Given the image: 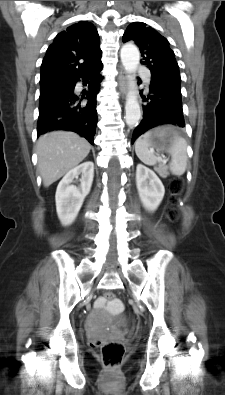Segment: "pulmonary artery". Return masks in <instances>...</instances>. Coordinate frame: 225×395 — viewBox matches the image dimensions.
<instances>
[{
  "label": "pulmonary artery",
  "instance_id": "pulmonary-artery-1",
  "mask_svg": "<svg viewBox=\"0 0 225 395\" xmlns=\"http://www.w3.org/2000/svg\"><path fill=\"white\" fill-rule=\"evenodd\" d=\"M141 74H142V77H143L145 83L149 84V82H150V74H149V72L146 71V70H142Z\"/></svg>",
  "mask_w": 225,
  "mask_h": 395
}]
</instances>
